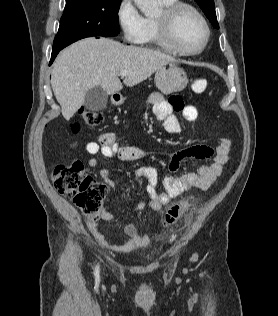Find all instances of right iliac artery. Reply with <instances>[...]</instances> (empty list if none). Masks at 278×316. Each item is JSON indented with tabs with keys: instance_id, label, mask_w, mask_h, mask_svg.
Masks as SVG:
<instances>
[{
	"instance_id": "obj_1",
	"label": "right iliac artery",
	"mask_w": 278,
	"mask_h": 316,
	"mask_svg": "<svg viewBox=\"0 0 278 316\" xmlns=\"http://www.w3.org/2000/svg\"><path fill=\"white\" fill-rule=\"evenodd\" d=\"M94 274H95L96 277L99 276V266H97V267L95 268Z\"/></svg>"
}]
</instances>
